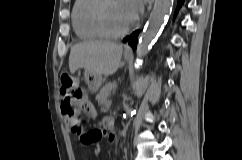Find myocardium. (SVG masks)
I'll return each mask as SVG.
<instances>
[{
  "instance_id": "f54148a6",
  "label": "myocardium",
  "mask_w": 242,
  "mask_h": 160,
  "mask_svg": "<svg viewBox=\"0 0 242 160\" xmlns=\"http://www.w3.org/2000/svg\"><path fill=\"white\" fill-rule=\"evenodd\" d=\"M106 2H107V0H97V3L95 4L93 11H92L93 24H94L96 30L99 32V34L102 37L107 38V39H112V40L120 39L130 32V30L132 28V23H130L125 29H123L122 31H120L118 33H112L110 31H108L104 25L103 15H102L103 7Z\"/></svg>"
}]
</instances>
